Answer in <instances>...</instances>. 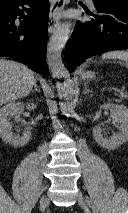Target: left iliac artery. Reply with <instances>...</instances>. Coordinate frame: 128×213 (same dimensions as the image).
<instances>
[{
  "label": "left iliac artery",
  "instance_id": "1",
  "mask_svg": "<svg viewBox=\"0 0 128 213\" xmlns=\"http://www.w3.org/2000/svg\"><path fill=\"white\" fill-rule=\"evenodd\" d=\"M86 201H87L88 205L91 207L93 213H98V209L94 205L93 201L88 197H86Z\"/></svg>",
  "mask_w": 128,
  "mask_h": 213
}]
</instances>
